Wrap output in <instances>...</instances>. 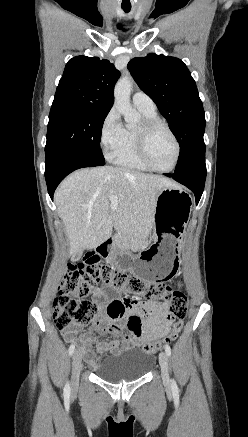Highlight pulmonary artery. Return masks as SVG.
Here are the masks:
<instances>
[{
	"label": "pulmonary artery",
	"mask_w": 248,
	"mask_h": 437,
	"mask_svg": "<svg viewBox=\"0 0 248 437\" xmlns=\"http://www.w3.org/2000/svg\"><path fill=\"white\" fill-rule=\"evenodd\" d=\"M133 104L141 110L154 112L156 111V105L154 101L144 92H135L132 97Z\"/></svg>",
	"instance_id": "1"
}]
</instances>
